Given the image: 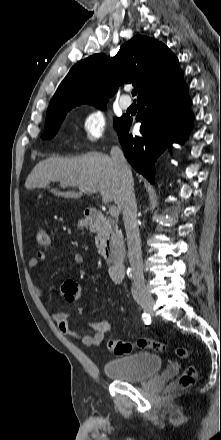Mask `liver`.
Listing matches in <instances>:
<instances>
[{"instance_id": "6515ba94", "label": "liver", "mask_w": 221, "mask_h": 440, "mask_svg": "<svg viewBox=\"0 0 221 440\" xmlns=\"http://www.w3.org/2000/svg\"><path fill=\"white\" fill-rule=\"evenodd\" d=\"M58 181L61 186L80 187L87 186L96 189L104 203L114 201L118 210L120 204V178L115 165L106 154L92 152L80 157L48 158L40 161L28 175L26 189L49 188L51 182ZM58 197L79 199L82 192H61L51 189Z\"/></svg>"}]
</instances>
